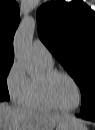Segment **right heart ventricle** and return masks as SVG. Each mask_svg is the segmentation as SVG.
<instances>
[{
  "instance_id": "right-heart-ventricle-1",
  "label": "right heart ventricle",
  "mask_w": 95,
  "mask_h": 130,
  "mask_svg": "<svg viewBox=\"0 0 95 130\" xmlns=\"http://www.w3.org/2000/svg\"><path fill=\"white\" fill-rule=\"evenodd\" d=\"M47 71L53 70V65H45ZM28 108L55 109L43 97L39 79H30V86L23 103Z\"/></svg>"
}]
</instances>
